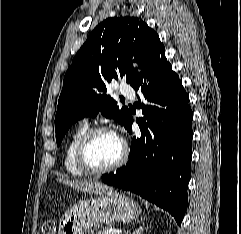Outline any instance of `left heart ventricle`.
Returning a JSON list of instances; mask_svg holds the SVG:
<instances>
[{"label": "left heart ventricle", "mask_w": 241, "mask_h": 234, "mask_svg": "<svg viewBox=\"0 0 241 234\" xmlns=\"http://www.w3.org/2000/svg\"><path fill=\"white\" fill-rule=\"evenodd\" d=\"M122 153L120 138L112 133H100L91 141L87 158L94 167H106L116 162Z\"/></svg>", "instance_id": "1"}]
</instances>
